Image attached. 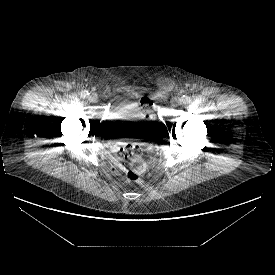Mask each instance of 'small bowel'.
Instances as JSON below:
<instances>
[{"label": "small bowel", "mask_w": 275, "mask_h": 275, "mask_svg": "<svg viewBox=\"0 0 275 275\" xmlns=\"http://www.w3.org/2000/svg\"><path fill=\"white\" fill-rule=\"evenodd\" d=\"M114 162H115V164H116V159H114ZM119 168H122V166H121V167H119Z\"/></svg>", "instance_id": "c3829d8e"}]
</instances>
